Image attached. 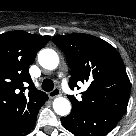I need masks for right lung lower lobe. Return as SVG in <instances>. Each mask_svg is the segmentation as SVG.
I'll return each mask as SVG.
<instances>
[{
	"label": "right lung lower lobe",
	"mask_w": 136,
	"mask_h": 136,
	"mask_svg": "<svg viewBox=\"0 0 136 136\" xmlns=\"http://www.w3.org/2000/svg\"><path fill=\"white\" fill-rule=\"evenodd\" d=\"M46 102V101H45ZM44 102V103H45ZM43 103V104H44ZM38 114V113H37ZM37 114H36V116L34 117V119L32 120V122L29 124V126L22 132V133H20V134H18V135H15V136H24V135H26L33 127H34V125H35V123H36V117H37Z\"/></svg>",
	"instance_id": "obj_1"
}]
</instances>
